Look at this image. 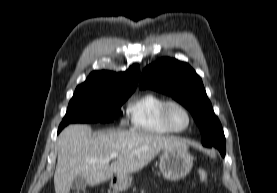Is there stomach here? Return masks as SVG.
<instances>
[{"label":"stomach","instance_id":"stomach-1","mask_svg":"<svg viewBox=\"0 0 277 193\" xmlns=\"http://www.w3.org/2000/svg\"><path fill=\"white\" fill-rule=\"evenodd\" d=\"M193 166V157L187 148H172L163 150L159 167L163 177L176 181L187 176ZM132 178L117 175L111 179V187L118 192L126 191L131 186Z\"/></svg>","mask_w":277,"mask_h":193}]
</instances>
